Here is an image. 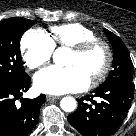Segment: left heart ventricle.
<instances>
[{"label": "left heart ventricle", "instance_id": "b2bd125f", "mask_svg": "<svg viewBox=\"0 0 136 136\" xmlns=\"http://www.w3.org/2000/svg\"><path fill=\"white\" fill-rule=\"evenodd\" d=\"M105 59L106 53L104 48L102 46H95L82 55H78L71 51L67 60V65L79 66L90 79L96 72L101 69Z\"/></svg>", "mask_w": 136, "mask_h": 136}]
</instances>
